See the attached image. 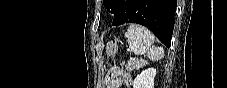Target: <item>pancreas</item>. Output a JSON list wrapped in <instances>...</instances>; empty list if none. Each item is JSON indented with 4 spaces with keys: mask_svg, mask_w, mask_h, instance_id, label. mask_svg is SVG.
<instances>
[{
    "mask_svg": "<svg viewBox=\"0 0 227 88\" xmlns=\"http://www.w3.org/2000/svg\"><path fill=\"white\" fill-rule=\"evenodd\" d=\"M145 64H146V61H144L142 59H132V60H129L126 64H123V65L125 66V69L127 71L132 72V71H135V70H139Z\"/></svg>",
    "mask_w": 227,
    "mask_h": 88,
    "instance_id": "1",
    "label": "pancreas"
}]
</instances>
